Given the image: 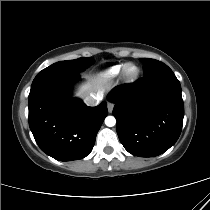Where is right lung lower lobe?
Listing matches in <instances>:
<instances>
[{
	"label": "right lung lower lobe",
	"instance_id": "right-lung-lower-lobe-1",
	"mask_svg": "<svg viewBox=\"0 0 210 210\" xmlns=\"http://www.w3.org/2000/svg\"><path fill=\"white\" fill-rule=\"evenodd\" d=\"M79 77V72H40L28 97L29 126L35 141L43 152L59 161L89 155L108 114L106 102L89 107L71 98L70 84Z\"/></svg>",
	"mask_w": 210,
	"mask_h": 210
}]
</instances>
